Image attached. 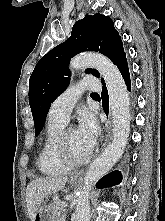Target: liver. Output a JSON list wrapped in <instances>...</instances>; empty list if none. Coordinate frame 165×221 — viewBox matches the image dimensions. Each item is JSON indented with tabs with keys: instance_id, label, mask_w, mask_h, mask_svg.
<instances>
[{
	"instance_id": "6515ba94",
	"label": "liver",
	"mask_w": 165,
	"mask_h": 221,
	"mask_svg": "<svg viewBox=\"0 0 165 221\" xmlns=\"http://www.w3.org/2000/svg\"><path fill=\"white\" fill-rule=\"evenodd\" d=\"M67 180L68 177L36 178L28 184L26 189V205L31 221H34L44 198L63 189Z\"/></svg>"
}]
</instances>
